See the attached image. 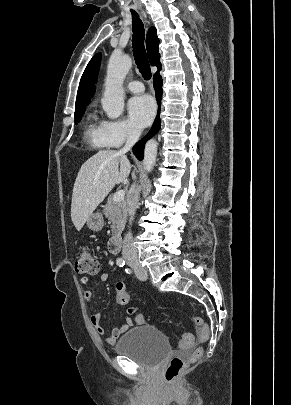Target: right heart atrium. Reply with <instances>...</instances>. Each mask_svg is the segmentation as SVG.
Wrapping results in <instances>:
<instances>
[{"label": "right heart atrium", "instance_id": "right-heart-atrium-1", "mask_svg": "<svg viewBox=\"0 0 291 405\" xmlns=\"http://www.w3.org/2000/svg\"><path fill=\"white\" fill-rule=\"evenodd\" d=\"M102 133L109 147H120L138 137V130L126 120L102 121Z\"/></svg>", "mask_w": 291, "mask_h": 405}]
</instances>
